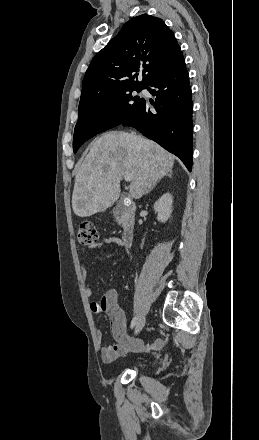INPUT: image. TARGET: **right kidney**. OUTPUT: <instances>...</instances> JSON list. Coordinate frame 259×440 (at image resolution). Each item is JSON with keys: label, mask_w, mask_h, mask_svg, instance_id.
I'll return each mask as SVG.
<instances>
[{"label": "right kidney", "mask_w": 259, "mask_h": 440, "mask_svg": "<svg viewBox=\"0 0 259 440\" xmlns=\"http://www.w3.org/2000/svg\"><path fill=\"white\" fill-rule=\"evenodd\" d=\"M173 197L170 193H165L154 204V210L158 213L157 219L161 223H166L172 213Z\"/></svg>", "instance_id": "1"}]
</instances>
